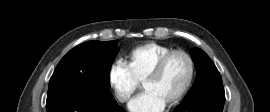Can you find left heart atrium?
<instances>
[{
    "label": "left heart atrium",
    "instance_id": "obj_1",
    "mask_svg": "<svg viewBox=\"0 0 270 112\" xmlns=\"http://www.w3.org/2000/svg\"><path fill=\"white\" fill-rule=\"evenodd\" d=\"M166 104L155 94L144 92L130 101L128 108L131 112H162Z\"/></svg>",
    "mask_w": 270,
    "mask_h": 112
}]
</instances>
